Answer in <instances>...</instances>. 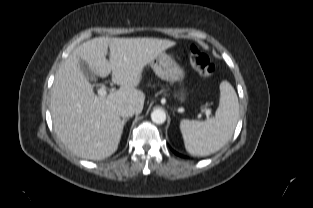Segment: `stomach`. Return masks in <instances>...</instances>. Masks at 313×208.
Masks as SVG:
<instances>
[{
    "mask_svg": "<svg viewBox=\"0 0 313 208\" xmlns=\"http://www.w3.org/2000/svg\"><path fill=\"white\" fill-rule=\"evenodd\" d=\"M150 66L155 74L163 80L171 83H180V85L184 80L185 72L183 68L180 67L176 61L166 53H161L155 57L150 62ZM175 96L181 102L185 100L186 91L183 86L179 88Z\"/></svg>",
    "mask_w": 313,
    "mask_h": 208,
    "instance_id": "0dacf381",
    "label": "stomach"
}]
</instances>
